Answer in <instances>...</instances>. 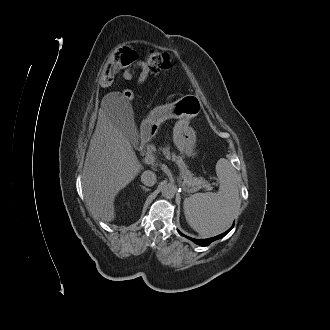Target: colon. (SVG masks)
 <instances>
[{
    "label": "colon",
    "mask_w": 330,
    "mask_h": 330,
    "mask_svg": "<svg viewBox=\"0 0 330 330\" xmlns=\"http://www.w3.org/2000/svg\"><path fill=\"white\" fill-rule=\"evenodd\" d=\"M137 58L136 52L130 47H122L116 50L101 71V81L105 84L111 83L122 69L132 66ZM145 62L149 71L154 74L167 70L172 65V59L169 54L155 50L150 51L146 55ZM122 95L129 100L133 98L131 90H124Z\"/></svg>",
    "instance_id": "obj_1"
}]
</instances>
